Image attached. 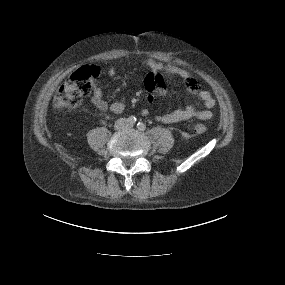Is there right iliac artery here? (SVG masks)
Returning <instances> with one entry per match:
<instances>
[{
    "label": "right iliac artery",
    "instance_id": "obj_1",
    "mask_svg": "<svg viewBox=\"0 0 285 285\" xmlns=\"http://www.w3.org/2000/svg\"><path fill=\"white\" fill-rule=\"evenodd\" d=\"M128 122H129V124L134 125L136 122V118L134 116H131L128 118Z\"/></svg>",
    "mask_w": 285,
    "mask_h": 285
}]
</instances>
